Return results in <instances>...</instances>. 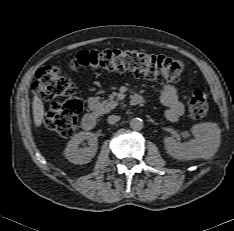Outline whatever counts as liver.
Instances as JSON below:
<instances>
[{"mask_svg": "<svg viewBox=\"0 0 234 231\" xmlns=\"http://www.w3.org/2000/svg\"><path fill=\"white\" fill-rule=\"evenodd\" d=\"M33 109V119L36 127H40L42 125L44 119V105L42 100L35 95L32 102Z\"/></svg>", "mask_w": 234, "mask_h": 231, "instance_id": "6515ba94", "label": "liver"}]
</instances>
